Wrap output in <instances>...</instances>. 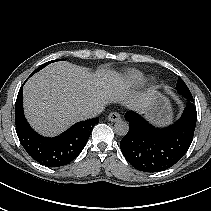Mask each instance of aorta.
<instances>
[{
	"mask_svg": "<svg viewBox=\"0 0 211 211\" xmlns=\"http://www.w3.org/2000/svg\"><path fill=\"white\" fill-rule=\"evenodd\" d=\"M129 131V125L126 121L119 120L114 124V132L117 135L124 136Z\"/></svg>",
	"mask_w": 211,
	"mask_h": 211,
	"instance_id": "obj_1",
	"label": "aorta"
}]
</instances>
